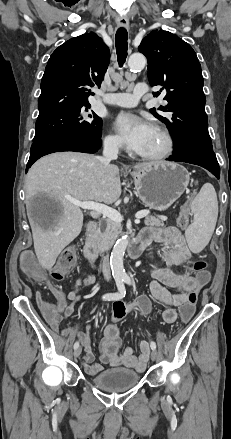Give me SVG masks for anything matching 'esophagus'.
I'll return each mask as SVG.
<instances>
[{
    "instance_id": "34e87169",
    "label": "esophagus",
    "mask_w": 231,
    "mask_h": 439,
    "mask_svg": "<svg viewBox=\"0 0 231 439\" xmlns=\"http://www.w3.org/2000/svg\"><path fill=\"white\" fill-rule=\"evenodd\" d=\"M118 26L128 28L129 27V19L126 16H119L116 19Z\"/></svg>"
}]
</instances>
